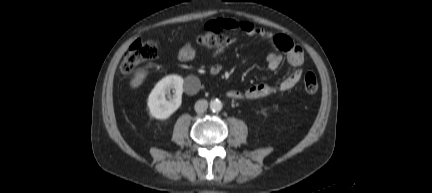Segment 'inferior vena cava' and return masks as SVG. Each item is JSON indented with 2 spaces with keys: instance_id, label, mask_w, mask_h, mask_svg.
<instances>
[{
  "instance_id": "602c4592",
  "label": "inferior vena cava",
  "mask_w": 432,
  "mask_h": 193,
  "mask_svg": "<svg viewBox=\"0 0 432 193\" xmlns=\"http://www.w3.org/2000/svg\"><path fill=\"white\" fill-rule=\"evenodd\" d=\"M207 108H208V102L205 99L198 100L195 103V111L199 114L204 113L207 110Z\"/></svg>"
}]
</instances>
